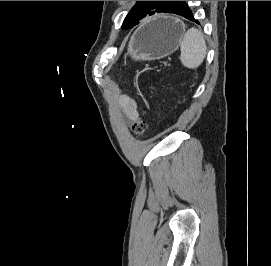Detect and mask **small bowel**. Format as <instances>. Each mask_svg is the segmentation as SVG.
<instances>
[{"label":"small bowel","instance_id":"obj_1","mask_svg":"<svg viewBox=\"0 0 271 266\" xmlns=\"http://www.w3.org/2000/svg\"><path fill=\"white\" fill-rule=\"evenodd\" d=\"M121 105L126 113V115L131 119V120H136L138 117L137 109H136V104L133 100L123 97L121 99Z\"/></svg>","mask_w":271,"mask_h":266}]
</instances>
